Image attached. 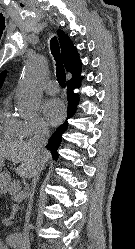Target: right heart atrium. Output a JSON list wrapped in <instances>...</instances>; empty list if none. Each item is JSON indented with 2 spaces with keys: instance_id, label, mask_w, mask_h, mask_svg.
I'll list each match as a JSON object with an SVG mask.
<instances>
[{
  "instance_id": "1",
  "label": "right heart atrium",
  "mask_w": 135,
  "mask_h": 249,
  "mask_svg": "<svg viewBox=\"0 0 135 249\" xmlns=\"http://www.w3.org/2000/svg\"><path fill=\"white\" fill-rule=\"evenodd\" d=\"M20 125L23 138L40 136L48 132V127L40 119L21 120Z\"/></svg>"
}]
</instances>
